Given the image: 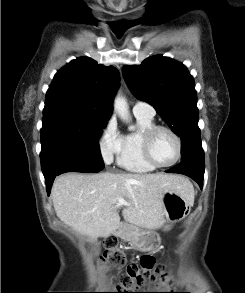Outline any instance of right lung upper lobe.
Listing matches in <instances>:
<instances>
[{
  "instance_id": "1",
  "label": "right lung upper lobe",
  "mask_w": 245,
  "mask_h": 293,
  "mask_svg": "<svg viewBox=\"0 0 245 293\" xmlns=\"http://www.w3.org/2000/svg\"><path fill=\"white\" fill-rule=\"evenodd\" d=\"M120 76L113 66L88 57L72 60L56 73L46 93L44 116L61 115L107 122Z\"/></svg>"
}]
</instances>
